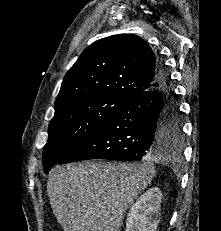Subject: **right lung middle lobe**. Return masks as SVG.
Returning a JSON list of instances; mask_svg holds the SVG:
<instances>
[{
	"label": "right lung middle lobe",
	"mask_w": 221,
	"mask_h": 231,
	"mask_svg": "<svg viewBox=\"0 0 221 231\" xmlns=\"http://www.w3.org/2000/svg\"><path fill=\"white\" fill-rule=\"evenodd\" d=\"M125 101L114 95L90 96L56 111L49 123L48 141L43 149L45 173L94 134ZM169 115L170 125L164 137L179 148L182 133L178 109L172 108Z\"/></svg>",
	"instance_id": "obj_1"
}]
</instances>
